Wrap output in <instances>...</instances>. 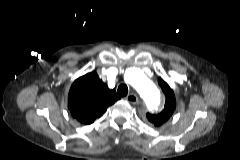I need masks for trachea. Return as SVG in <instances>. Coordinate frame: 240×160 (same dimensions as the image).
<instances>
[{
    "instance_id": "trachea-1",
    "label": "trachea",
    "mask_w": 240,
    "mask_h": 160,
    "mask_svg": "<svg viewBox=\"0 0 240 160\" xmlns=\"http://www.w3.org/2000/svg\"><path fill=\"white\" fill-rule=\"evenodd\" d=\"M118 94L121 97H125L128 94V87L125 84H121L118 87Z\"/></svg>"
}]
</instances>
